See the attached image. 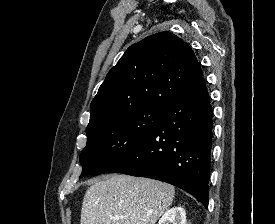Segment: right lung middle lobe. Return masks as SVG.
Instances as JSON below:
<instances>
[{"instance_id":"dd1d6c3e","label":"right lung middle lobe","mask_w":275,"mask_h":224,"mask_svg":"<svg viewBox=\"0 0 275 224\" xmlns=\"http://www.w3.org/2000/svg\"><path fill=\"white\" fill-rule=\"evenodd\" d=\"M165 110L145 107L86 128L87 145L80 155V177L100 174L121 161L149 136Z\"/></svg>"}]
</instances>
